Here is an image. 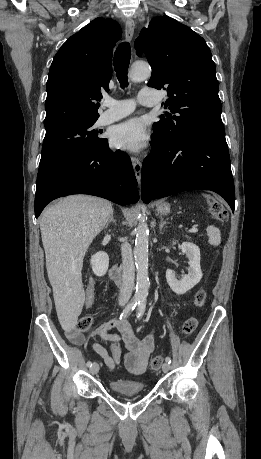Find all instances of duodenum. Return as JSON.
I'll list each match as a JSON object with an SVG mask.
<instances>
[{
    "label": "duodenum",
    "mask_w": 261,
    "mask_h": 459,
    "mask_svg": "<svg viewBox=\"0 0 261 459\" xmlns=\"http://www.w3.org/2000/svg\"><path fill=\"white\" fill-rule=\"evenodd\" d=\"M109 273L113 279H119L121 277V268L118 266V264H113L110 267Z\"/></svg>",
    "instance_id": "obj_1"
}]
</instances>
